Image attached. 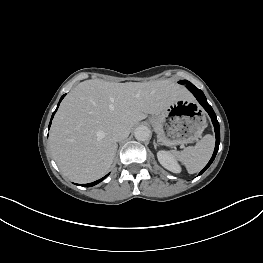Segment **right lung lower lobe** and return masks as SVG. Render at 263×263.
I'll return each instance as SVG.
<instances>
[{
    "label": "right lung lower lobe",
    "mask_w": 263,
    "mask_h": 263,
    "mask_svg": "<svg viewBox=\"0 0 263 263\" xmlns=\"http://www.w3.org/2000/svg\"><path fill=\"white\" fill-rule=\"evenodd\" d=\"M65 95H66V94H64V95L61 97L59 103L61 102V100L64 98ZM59 103H58L57 108L59 107ZM56 111H57V109L54 111V113H53V115H52V118H53V116H54V114H55ZM52 118H51V119H52ZM50 125H51V122H50V124H49V127H50ZM106 176H108V175H106ZM106 176H105V177H106ZM105 177H103V178H101V179H99V180H97V181H95V182H93V183L83 184L82 186H84V187L94 186V185L98 184L99 182H101Z\"/></svg>",
    "instance_id": "1"
}]
</instances>
